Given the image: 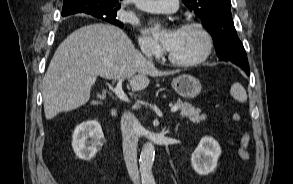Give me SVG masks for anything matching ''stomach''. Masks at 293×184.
<instances>
[{
  "mask_svg": "<svg viewBox=\"0 0 293 184\" xmlns=\"http://www.w3.org/2000/svg\"><path fill=\"white\" fill-rule=\"evenodd\" d=\"M171 85L177 94L188 99L197 97L202 89L200 81L188 74L174 78Z\"/></svg>",
  "mask_w": 293,
  "mask_h": 184,
  "instance_id": "obj_1",
  "label": "stomach"
}]
</instances>
